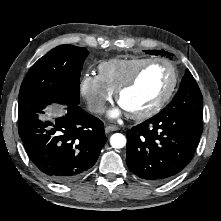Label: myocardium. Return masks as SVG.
<instances>
[{
    "mask_svg": "<svg viewBox=\"0 0 221 221\" xmlns=\"http://www.w3.org/2000/svg\"><path fill=\"white\" fill-rule=\"evenodd\" d=\"M154 63H162L166 66H168L171 70V82L167 88V90L161 95V97L147 110L138 112V113H129L127 112V115L133 119V120H146L149 119L153 116H155L157 113H159L165 104L170 100L172 95L174 94L177 84H178V79H179V74L178 70L175 67V65L163 58H150L146 60L141 66H139L133 73L132 75L126 79L116 90L115 92V98L118 104H120V98L123 95L125 91H127L129 88H131L139 79L141 74L144 72V70L149 67L150 65Z\"/></svg>",
    "mask_w": 221,
    "mask_h": 221,
    "instance_id": "1",
    "label": "myocardium"
}]
</instances>
